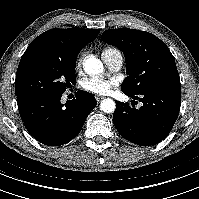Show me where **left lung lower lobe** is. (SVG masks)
Listing matches in <instances>:
<instances>
[{"instance_id": "0a47b994", "label": "left lung lower lobe", "mask_w": 199, "mask_h": 199, "mask_svg": "<svg viewBox=\"0 0 199 199\" xmlns=\"http://www.w3.org/2000/svg\"><path fill=\"white\" fill-rule=\"evenodd\" d=\"M124 93L134 99L140 97L143 106L136 109L116 101L113 123L120 135L140 146L154 145L166 138L179 114L181 88H156L138 95Z\"/></svg>"}]
</instances>
